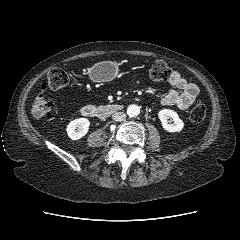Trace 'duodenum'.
Returning a JSON list of instances; mask_svg holds the SVG:
<instances>
[{
    "mask_svg": "<svg viewBox=\"0 0 240 240\" xmlns=\"http://www.w3.org/2000/svg\"><path fill=\"white\" fill-rule=\"evenodd\" d=\"M122 106L120 104H107L103 106L85 105L81 109L83 116L88 118L103 119L120 111Z\"/></svg>",
    "mask_w": 240,
    "mask_h": 240,
    "instance_id": "410a0bca",
    "label": "duodenum"
}]
</instances>
